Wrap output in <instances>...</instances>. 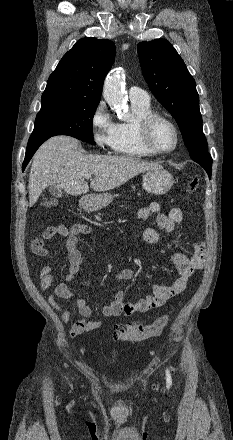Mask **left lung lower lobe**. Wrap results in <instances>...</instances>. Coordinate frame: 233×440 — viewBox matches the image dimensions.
I'll use <instances>...</instances> for the list:
<instances>
[{
    "label": "left lung lower lobe",
    "mask_w": 233,
    "mask_h": 440,
    "mask_svg": "<svg viewBox=\"0 0 233 440\" xmlns=\"http://www.w3.org/2000/svg\"><path fill=\"white\" fill-rule=\"evenodd\" d=\"M195 162L200 164L207 172L209 178H211V171H212V158H202V159H193Z\"/></svg>",
    "instance_id": "obj_1"
}]
</instances>
